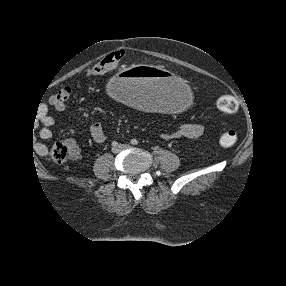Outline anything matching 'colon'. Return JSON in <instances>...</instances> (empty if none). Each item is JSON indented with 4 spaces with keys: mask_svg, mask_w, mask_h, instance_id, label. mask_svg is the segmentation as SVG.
I'll return each instance as SVG.
<instances>
[{
    "mask_svg": "<svg viewBox=\"0 0 286 286\" xmlns=\"http://www.w3.org/2000/svg\"><path fill=\"white\" fill-rule=\"evenodd\" d=\"M123 57L124 53L122 51L110 53L89 68L87 73L89 76H103L114 73L120 67ZM71 96L72 88L65 86L50 96L49 103L57 109H62L69 102ZM217 107L223 113L235 114L239 109V104L234 97L223 96L217 101ZM237 142L238 135L233 130H226L219 137L220 145L225 148L233 147ZM50 156L54 161L62 163L71 158L72 153L65 143L57 142L52 145Z\"/></svg>",
    "mask_w": 286,
    "mask_h": 286,
    "instance_id": "colon-1",
    "label": "colon"
}]
</instances>
